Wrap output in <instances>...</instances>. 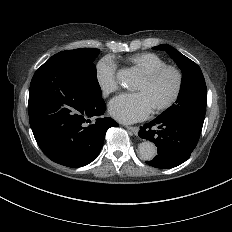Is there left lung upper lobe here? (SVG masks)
I'll use <instances>...</instances> for the list:
<instances>
[{
	"label": "left lung upper lobe",
	"mask_w": 232,
	"mask_h": 232,
	"mask_svg": "<svg viewBox=\"0 0 232 232\" xmlns=\"http://www.w3.org/2000/svg\"><path fill=\"white\" fill-rule=\"evenodd\" d=\"M166 51L183 72L182 85L175 104L160 117L181 119L201 131L207 104V88L200 67L167 44L153 47Z\"/></svg>",
	"instance_id": "obj_1"
}]
</instances>
